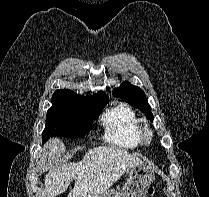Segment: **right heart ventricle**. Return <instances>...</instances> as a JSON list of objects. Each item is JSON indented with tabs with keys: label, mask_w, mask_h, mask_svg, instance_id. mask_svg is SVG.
I'll return each instance as SVG.
<instances>
[{
	"label": "right heart ventricle",
	"mask_w": 209,
	"mask_h": 197,
	"mask_svg": "<svg viewBox=\"0 0 209 197\" xmlns=\"http://www.w3.org/2000/svg\"><path fill=\"white\" fill-rule=\"evenodd\" d=\"M102 122L108 142L124 148H135L140 144L139 119L129 105H115L103 115Z\"/></svg>",
	"instance_id": "obj_1"
}]
</instances>
